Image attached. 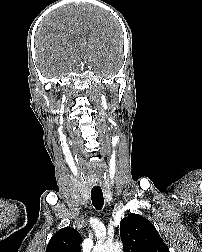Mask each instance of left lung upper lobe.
Masks as SVG:
<instances>
[{"label": "left lung upper lobe", "mask_w": 202, "mask_h": 252, "mask_svg": "<svg viewBox=\"0 0 202 252\" xmlns=\"http://www.w3.org/2000/svg\"><path fill=\"white\" fill-rule=\"evenodd\" d=\"M124 252H169L154 225L146 218L130 213L120 223Z\"/></svg>", "instance_id": "obj_1"}]
</instances>
